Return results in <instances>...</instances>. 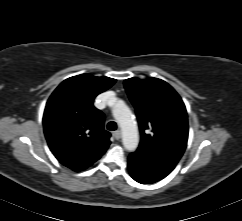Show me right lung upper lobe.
Here are the masks:
<instances>
[{
  "instance_id": "1",
  "label": "right lung upper lobe",
  "mask_w": 242,
  "mask_h": 221,
  "mask_svg": "<svg viewBox=\"0 0 242 221\" xmlns=\"http://www.w3.org/2000/svg\"><path fill=\"white\" fill-rule=\"evenodd\" d=\"M115 79L81 74L64 80L50 96L43 115L48 145L60 163L74 171L88 168L110 145L104 114L94 98Z\"/></svg>"
}]
</instances>
